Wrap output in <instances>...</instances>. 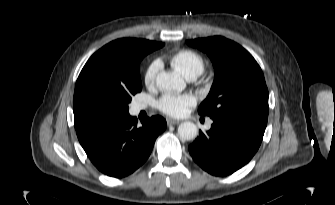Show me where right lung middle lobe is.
I'll return each mask as SVG.
<instances>
[{"instance_id":"dd1d6c3e","label":"right lung middle lobe","mask_w":335,"mask_h":205,"mask_svg":"<svg viewBox=\"0 0 335 205\" xmlns=\"http://www.w3.org/2000/svg\"><path fill=\"white\" fill-rule=\"evenodd\" d=\"M154 49L140 51L132 61V70L118 84L102 85L83 94L79 102L82 122L99 124L129 114L131 97L142 90L139 64Z\"/></svg>"}]
</instances>
